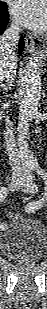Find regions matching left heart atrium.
<instances>
[{
  "mask_svg": "<svg viewBox=\"0 0 47 309\" xmlns=\"http://www.w3.org/2000/svg\"><path fill=\"white\" fill-rule=\"evenodd\" d=\"M11 13L19 24L27 28L44 30L47 26L46 0H14Z\"/></svg>",
  "mask_w": 47,
  "mask_h": 309,
  "instance_id": "obj_1",
  "label": "left heart atrium"
}]
</instances>
